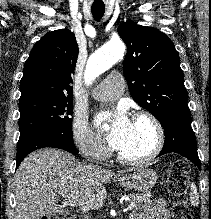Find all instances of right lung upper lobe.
<instances>
[{
  "mask_svg": "<svg viewBox=\"0 0 211 219\" xmlns=\"http://www.w3.org/2000/svg\"><path fill=\"white\" fill-rule=\"evenodd\" d=\"M78 57L75 35L60 29L44 35L32 48L20 81L21 97L72 99L70 86Z\"/></svg>",
  "mask_w": 211,
  "mask_h": 219,
  "instance_id": "cb5924a9",
  "label": "right lung upper lobe"
}]
</instances>
